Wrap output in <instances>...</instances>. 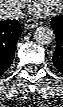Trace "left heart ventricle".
<instances>
[{"label": "left heart ventricle", "mask_w": 63, "mask_h": 107, "mask_svg": "<svg viewBox=\"0 0 63 107\" xmlns=\"http://www.w3.org/2000/svg\"><path fill=\"white\" fill-rule=\"evenodd\" d=\"M59 0H47V2L49 3V4H55V3H57Z\"/></svg>", "instance_id": "left-heart-ventricle-1"}]
</instances>
